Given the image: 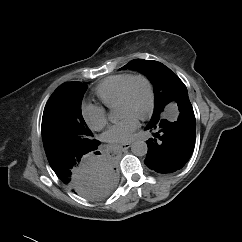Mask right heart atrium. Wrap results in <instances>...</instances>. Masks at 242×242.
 <instances>
[{
	"label": "right heart atrium",
	"instance_id": "right-heart-atrium-1",
	"mask_svg": "<svg viewBox=\"0 0 242 242\" xmlns=\"http://www.w3.org/2000/svg\"><path fill=\"white\" fill-rule=\"evenodd\" d=\"M80 115L84 123L94 131L101 130L107 123L106 111L100 105L84 102L80 106Z\"/></svg>",
	"mask_w": 242,
	"mask_h": 242
}]
</instances>
